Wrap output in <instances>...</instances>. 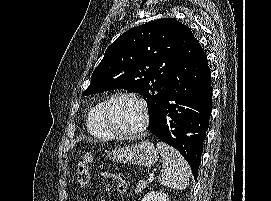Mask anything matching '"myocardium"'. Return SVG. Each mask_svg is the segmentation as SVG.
<instances>
[{
    "label": "myocardium",
    "instance_id": "myocardium-1",
    "mask_svg": "<svg viewBox=\"0 0 271 201\" xmlns=\"http://www.w3.org/2000/svg\"><path fill=\"white\" fill-rule=\"evenodd\" d=\"M119 97L132 98L141 107L142 121H141L140 125L133 130H130V131L119 130L111 122V119L109 116V108H110L111 103ZM101 116H102V120H103V123L106 126V128L110 132H112L114 135L120 136V137H133V136L139 135L140 133H142L143 131H145L148 128L149 122H150V111H149V107H148L146 100L137 92L130 91V90H120V91H117V92L113 93L112 95H110L104 101L102 111H101Z\"/></svg>",
    "mask_w": 271,
    "mask_h": 201
}]
</instances>
